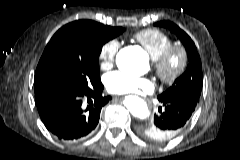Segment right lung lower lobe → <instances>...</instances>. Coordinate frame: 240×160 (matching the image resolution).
I'll return each instance as SVG.
<instances>
[{
	"label": "right lung lower lobe",
	"mask_w": 240,
	"mask_h": 160,
	"mask_svg": "<svg viewBox=\"0 0 240 160\" xmlns=\"http://www.w3.org/2000/svg\"><path fill=\"white\" fill-rule=\"evenodd\" d=\"M101 81L87 91L71 92L52 87L35 94L37 109L45 127L59 139L78 140L97 126L102 107L111 99L102 96Z\"/></svg>",
	"instance_id": "98d812e1"
}]
</instances>
